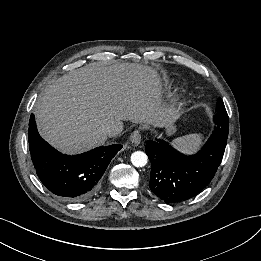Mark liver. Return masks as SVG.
Instances as JSON below:
<instances>
[{
  "instance_id": "6515ba94",
  "label": "liver",
  "mask_w": 261,
  "mask_h": 261,
  "mask_svg": "<svg viewBox=\"0 0 261 261\" xmlns=\"http://www.w3.org/2000/svg\"><path fill=\"white\" fill-rule=\"evenodd\" d=\"M35 107L40 135L69 154L104 144L107 125L165 126L179 112L163 103L157 71L136 63H92L73 70L47 86Z\"/></svg>"
}]
</instances>
